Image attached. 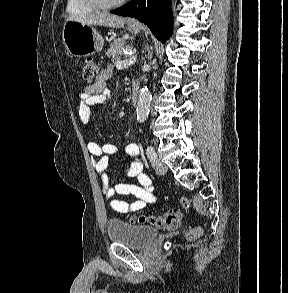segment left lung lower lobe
Wrapping results in <instances>:
<instances>
[{
  "mask_svg": "<svg viewBox=\"0 0 288 293\" xmlns=\"http://www.w3.org/2000/svg\"><path fill=\"white\" fill-rule=\"evenodd\" d=\"M170 2V0H132L111 13L138 19L150 28L158 40L164 43L172 34Z\"/></svg>",
  "mask_w": 288,
  "mask_h": 293,
  "instance_id": "0a47b994",
  "label": "left lung lower lobe"
}]
</instances>
